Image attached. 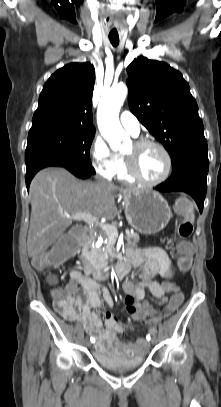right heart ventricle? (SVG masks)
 I'll list each match as a JSON object with an SVG mask.
<instances>
[{
    "mask_svg": "<svg viewBox=\"0 0 221 407\" xmlns=\"http://www.w3.org/2000/svg\"><path fill=\"white\" fill-rule=\"evenodd\" d=\"M117 176L120 180L131 181L132 178L129 176L126 170V165L124 159L121 157V164L117 172Z\"/></svg>",
    "mask_w": 221,
    "mask_h": 407,
    "instance_id": "1",
    "label": "right heart ventricle"
}]
</instances>
